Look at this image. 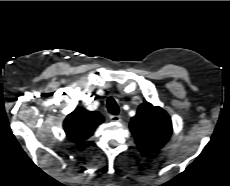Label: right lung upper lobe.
<instances>
[{"instance_id":"cb5924a9","label":"right lung upper lobe","mask_w":230,"mask_h":186,"mask_svg":"<svg viewBox=\"0 0 230 186\" xmlns=\"http://www.w3.org/2000/svg\"><path fill=\"white\" fill-rule=\"evenodd\" d=\"M103 121V116L98 112L79 107L66 117L63 127L70 140L81 143L89 138Z\"/></svg>"}]
</instances>
